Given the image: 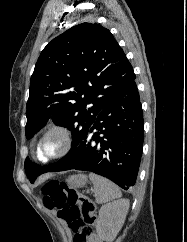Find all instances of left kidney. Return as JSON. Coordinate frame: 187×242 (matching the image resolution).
Segmentation results:
<instances>
[{
	"label": "left kidney",
	"mask_w": 187,
	"mask_h": 242,
	"mask_svg": "<svg viewBox=\"0 0 187 242\" xmlns=\"http://www.w3.org/2000/svg\"><path fill=\"white\" fill-rule=\"evenodd\" d=\"M128 209L127 199L107 203L100 208L96 231L103 241L112 242L116 238L124 224Z\"/></svg>",
	"instance_id": "left-kidney-1"
}]
</instances>
